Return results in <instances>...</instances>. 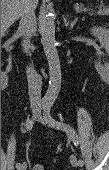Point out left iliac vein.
Masks as SVG:
<instances>
[{"label": "left iliac vein", "mask_w": 109, "mask_h": 170, "mask_svg": "<svg viewBox=\"0 0 109 170\" xmlns=\"http://www.w3.org/2000/svg\"><path fill=\"white\" fill-rule=\"evenodd\" d=\"M38 121L49 126V127H54L46 120L45 116H39ZM70 162H71L72 166H74V167L81 166L79 163V160H77V158L74 155H72L70 157Z\"/></svg>", "instance_id": "1"}]
</instances>
